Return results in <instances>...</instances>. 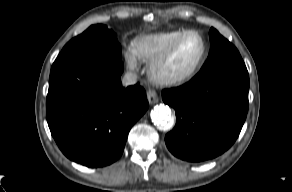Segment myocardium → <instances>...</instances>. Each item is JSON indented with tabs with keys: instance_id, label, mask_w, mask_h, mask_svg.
I'll return each instance as SVG.
<instances>
[{
	"instance_id": "myocardium-1",
	"label": "myocardium",
	"mask_w": 292,
	"mask_h": 192,
	"mask_svg": "<svg viewBox=\"0 0 292 192\" xmlns=\"http://www.w3.org/2000/svg\"><path fill=\"white\" fill-rule=\"evenodd\" d=\"M189 35H196L202 42V53L198 61L188 71L181 74H171L167 71V65L181 42ZM209 47L205 37L196 30H187L176 38L173 43L165 50V52L152 62L149 73L151 78L158 84L166 86H175L184 84L193 79L204 66L208 58Z\"/></svg>"
}]
</instances>
